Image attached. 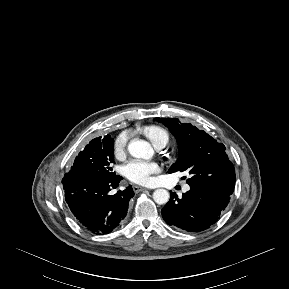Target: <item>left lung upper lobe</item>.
<instances>
[{"label":"left lung upper lobe","instance_id":"5c2ea615","mask_svg":"<svg viewBox=\"0 0 289 289\" xmlns=\"http://www.w3.org/2000/svg\"><path fill=\"white\" fill-rule=\"evenodd\" d=\"M175 136L179 157L169 173L189 171L190 186L201 187L211 192L231 196L234 190L235 169L228 159L223 144L218 143L205 131L195 126L182 124L177 118H155Z\"/></svg>","mask_w":289,"mask_h":289}]
</instances>
